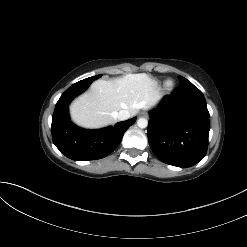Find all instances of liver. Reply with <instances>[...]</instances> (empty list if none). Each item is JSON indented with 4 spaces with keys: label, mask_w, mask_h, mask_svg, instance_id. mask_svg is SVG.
Masks as SVG:
<instances>
[{
    "label": "liver",
    "mask_w": 247,
    "mask_h": 247,
    "mask_svg": "<svg viewBox=\"0 0 247 247\" xmlns=\"http://www.w3.org/2000/svg\"><path fill=\"white\" fill-rule=\"evenodd\" d=\"M160 98L156 83L145 73L127 74L113 80H97L70 106L72 120L85 128H101L116 122L115 114L153 107Z\"/></svg>",
    "instance_id": "1"
}]
</instances>
